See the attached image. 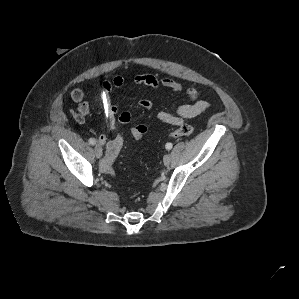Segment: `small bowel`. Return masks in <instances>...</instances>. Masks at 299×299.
I'll list each match as a JSON object with an SVG mask.
<instances>
[{
  "label": "small bowel",
  "instance_id": "c3829d8e",
  "mask_svg": "<svg viewBox=\"0 0 299 299\" xmlns=\"http://www.w3.org/2000/svg\"><path fill=\"white\" fill-rule=\"evenodd\" d=\"M133 82L136 85H143L152 89H158L163 86L173 90L174 92L184 91L188 96L190 102L178 106L174 111H160L157 114V118L160 122L169 125H181L186 120L192 119L201 113L208 110L209 103L200 99V92L194 86H188L183 88L176 80L171 77L157 78L156 76L148 73L138 74L133 78ZM124 86V78L122 76H115L111 80H105L101 83L99 93L103 103L105 111V119L109 130L114 131L117 124L128 125L131 121V114L127 111L120 112L117 105L112 103V91L114 89H120ZM71 99L78 103V111L84 114V117L88 116L90 112L89 103L85 101V92L76 88L70 93ZM139 105L150 110L153 103L148 98H142L139 101ZM136 126L143 127L147 132V127L143 124ZM108 137L106 135H100L98 142L102 145L108 143Z\"/></svg>",
  "mask_w": 299,
  "mask_h": 299
}]
</instances>
